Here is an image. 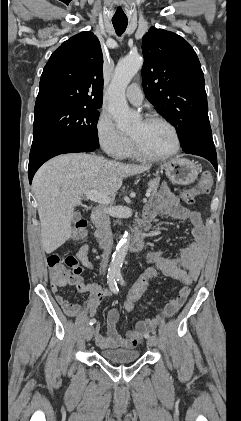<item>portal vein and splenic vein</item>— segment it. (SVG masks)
<instances>
[{
    "mask_svg": "<svg viewBox=\"0 0 241 421\" xmlns=\"http://www.w3.org/2000/svg\"><path fill=\"white\" fill-rule=\"evenodd\" d=\"M85 196L89 200H91L93 202L100 203V204L108 205V204H112L113 203V199L112 198H110L107 195L101 194V193L97 192L96 190H89V191L85 192ZM149 196H150V191H147L146 192V197H149ZM146 200L147 199L144 198V201H146Z\"/></svg>",
    "mask_w": 241,
    "mask_h": 421,
    "instance_id": "1",
    "label": "portal vein and splenic vein"
}]
</instances>
